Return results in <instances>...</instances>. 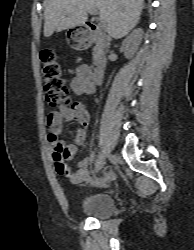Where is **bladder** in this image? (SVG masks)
<instances>
[{
	"label": "bladder",
	"mask_w": 194,
	"mask_h": 250,
	"mask_svg": "<svg viewBox=\"0 0 194 250\" xmlns=\"http://www.w3.org/2000/svg\"><path fill=\"white\" fill-rule=\"evenodd\" d=\"M116 205L114 199L104 193H95L86 197L81 204V211L94 218H106L113 215Z\"/></svg>",
	"instance_id": "obj_1"
}]
</instances>
